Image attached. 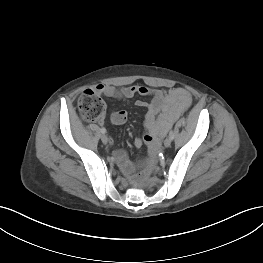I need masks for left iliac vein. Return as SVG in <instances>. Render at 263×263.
Returning a JSON list of instances; mask_svg holds the SVG:
<instances>
[{
	"mask_svg": "<svg viewBox=\"0 0 263 263\" xmlns=\"http://www.w3.org/2000/svg\"><path fill=\"white\" fill-rule=\"evenodd\" d=\"M171 142H172V139L170 137H167L165 140H164V146L167 148V147H170L171 145Z\"/></svg>",
	"mask_w": 263,
	"mask_h": 263,
	"instance_id": "4c4485c4",
	"label": "left iliac vein"
}]
</instances>
